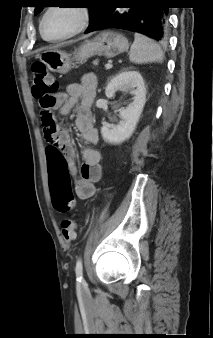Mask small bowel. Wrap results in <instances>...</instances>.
Masks as SVG:
<instances>
[{"label": "small bowel", "instance_id": "obj_1", "mask_svg": "<svg viewBox=\"0 0 213 338\" xmlns=\"http://www.w3.org/2000/svg\"><path fill=\"white\" fill-rule=\"evenodd\" d=\"M96 77L92 73L85 74L79 83L67 86L65 92L55 95V107L63 114L81 102V113L75 120L81 140L86 144H96L99 134L94 127L90 113V104L96 95ZM52 141L46 148V157L50 174L51 190L55 182H62L71 174L78 173L75 162L76 151L73 147L69 131L56 125V132L51 135ZM83 163L80 169L81 178L77 181L76 194L79 199L91 198L96 191L95 183L102 177L101 154L95 148H85L82 152Z\"/></svg>", "mask_w": 213, "mask_h": 338}]
</instances>
